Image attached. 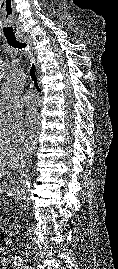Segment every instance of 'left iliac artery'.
<instances>
[{"mask_svg":"<svg viewBox=\"0 0 118 269\" xmlns=\"http://www.w3.org/2000/svg\"><path fill=\"white\" fill-rule=\"evenodd\" d=\"M13 263L17 269H22L23 268V261L20 256H14L13 257Z\"/></svg>","mask_w":118,"mask_h":269,"instance_id":"1","label":"left iliac artery"}]
</instances>
